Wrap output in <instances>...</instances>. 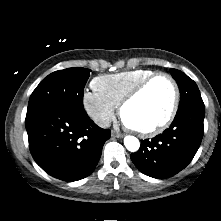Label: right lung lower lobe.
Here are the masks:
<instances>
[{"mask_svg": "<svg viewBox=\"0 0 221 221\" xmlns=\"http://www.w3.org/2000/svg\"><path fill=\"white\" fill-rule=\"evenodd\" d=\"M25 125L35 162L49 175L73 182L95 169L111 131L98 127L84 108L57 105L27 113Z\"/></svg>", "mask_w": 221, "mask_h": 221, "instance_id": "98d812e1", "label": "right lung lower lobe"}]
</instances>
